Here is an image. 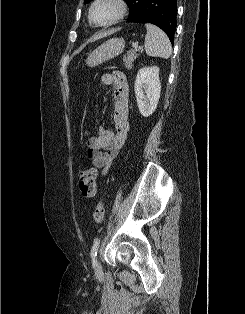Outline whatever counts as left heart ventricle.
Instances as JSON below:
<instances>
[{"label":"left heart ventricle","mask_w":245,"mask_h":314,"mask_svg":"<svg viewBox=\"0 0 245 314\" xmlns=\"http://www.w3.org/2000/svg\"><path fill=\"white\" fill-rule=\"evenodd\" d=\"M116 6L109 0L98 3L92 13L93 21L96 23H105L109 21L116 13Z\"/></svg>","instance_id":"left-heart-ventricle-1"}]
</instances>
